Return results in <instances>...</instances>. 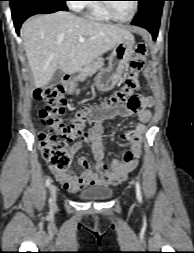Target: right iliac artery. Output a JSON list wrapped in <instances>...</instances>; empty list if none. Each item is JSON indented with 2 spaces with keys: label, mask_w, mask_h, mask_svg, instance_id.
<instances>
[{
  "label": "right iliac artery",
  "mask_w": 194,
  "mask_h": 253,
  "mask_svg": "<svg viewBox=\"0 0 194 253\" xmlns=\"http://www.w3.org/2000/svg\"><path fill=\"white\" fill-rule=\"evenodd\" d=\"M50 184H51V179L48 178V179L46 180V186L49 188V187H50ZM49 203H50V205L52 206V199H51V198H50V200H49Z\"/></svg>",
  "instance_id": "82829eb1"
}]
</instances>
